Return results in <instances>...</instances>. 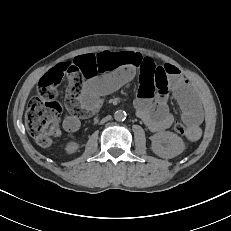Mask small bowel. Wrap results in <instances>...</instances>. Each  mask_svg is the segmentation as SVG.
I'll list each match as a JSON object with an SVG mask.
<instances>
[{
    "mask_svg": "<svg viewBox=\"0 0 231 231\" xmlns=\"http://www.w3.org/2000/svg\"><path fill=\"white\" fill-rule=\"evenodd\" d=\"M136 74L140 85L134 107L137 116L152 131L169 128L173 115L169 111V92L176 96L182 118L189 125L190 140L201 135L202 112L198 99L191 91L180 70L171 64L158 65L150 58L135 52L89 53L60 63L42 78L58 83L65 75L68 79L66 107L69 114L63 120L65 130L76 131L80 119L92 115L101 105V98L110 94Z\"/></svg>",
    "mask_w": 231,
    "mask_h": 231,
    "instance_id": "obj_1",
    "label": "small bowel"
}]
</instances>
